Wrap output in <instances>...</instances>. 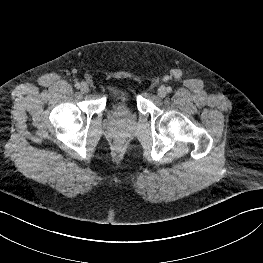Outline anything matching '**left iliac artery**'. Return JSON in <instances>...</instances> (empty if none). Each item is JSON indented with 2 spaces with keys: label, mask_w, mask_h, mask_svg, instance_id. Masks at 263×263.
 <instances>
[{
  "label": "left iliac artery",
  "mask_w": 263,
  "mask_h": 263,
  "mask_svg": "<svg viewBox=\"0 0 263 263\" xmlns=\"http://www.w3.org/2000/svg\"><path fill=\"white\" fill-rule=\"evenodd\" d=\"M166 90H167L168 93H170L172 91V88L171 87H167Z\"/></svg>",
  "instance_id": "44dca946"
}]
</instances>
